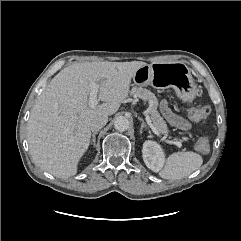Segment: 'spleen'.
Returning a JSON list of instances; mask_svg holds the SVG:
<instances>
[{
	"instance_id": "spleen-1",
	"label": "spleen",
	"mask_w": 241,
	"mask_h": 241,
	"mask_svg": "<svg viewBox=\"0 0 241 241\" xmlns=\"http://www.w3.org/2000/svg\"><path fill=\"white\" fill-rule=\"evenodd\" d=\"M202 163V157L195 152H175L168 156L159 175L167 180L182 179L199 169Z\"/></svg>"
}]
</instances>
